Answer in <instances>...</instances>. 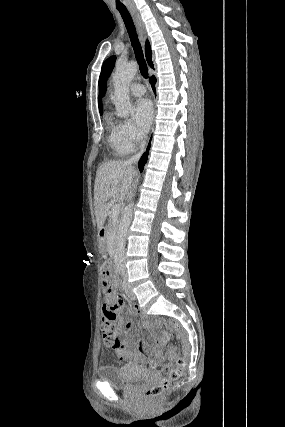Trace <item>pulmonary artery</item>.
Instances as JSON below:
<instances>
[{"label": "pulmonary artery", "mask_w": 285, "mask_h": 427, "mask_svg": "<svg viewBox=\"0 0 285 427\" xmlns=\"http://www.w3.org/2000/svg\"><path fill=\"white\" fill-rule=\"evenodd\" d=\"M145 92H146L145 87L140 83H133L130 86V93L133 96L139 97L144 95Z\"/></svg>", "instance_id": "1"}]
</instances>
